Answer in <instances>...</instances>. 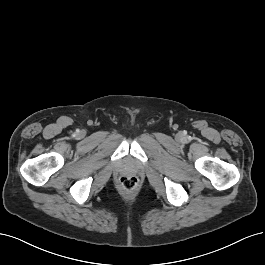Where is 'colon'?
Instances as JSON below:
<instances>
[{"instance_id":"1","label":"colon","mask_w":265,"mask_h":265,"mask_svg":"<svg viewBox=\"0 0 265 265\" xmlns=\"http://www.w3.org/2000/svg\"><path fill=\"white\" fill-rule=\"evenodd\" d=\"M120 183L123 188L132 190L137 185V179L133 176H124L120 179Z\"/></svg>"}]
</instances>
